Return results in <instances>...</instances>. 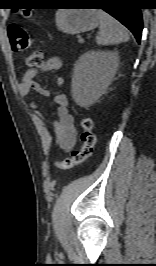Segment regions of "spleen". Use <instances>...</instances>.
Instances as JSON below:
<instances>
[{"instance_id":"1","label":"spleen","mask_w":156,"mask_h":266,"mask_svg":"<svg viewBox=\"0 0 156 266\" xmlns=\"http://www.w3.org/2000/svg\"><path fill=\"white\" fill-rule=\"evenodd\" d=\"M100 21L99 33L96 36L98 45H116L129 40L125 27L103 10H97Z\"/></svg>"}]
</instances>
